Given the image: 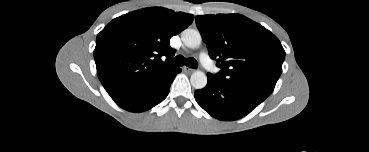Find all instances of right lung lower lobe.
<instances>
[{
  "instance_id": "1",
  "label": "right lung lower lobe",
  "mask_w": 369,
  "mask_h": 152,
  "mask_svg": "<svg viewBox=\"0 0 369 152\" xmlns=\"http://www.w3.org/2000/svg\"><path fill=\"white\" fill-rule=\"evenodd\" d=\"M179 72L181 69L175 67L152 81L113 96L112 99L127 111L143 112L149 110L167 97L170 85Z\"/></svg>"
}]
</instances>
